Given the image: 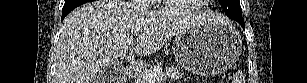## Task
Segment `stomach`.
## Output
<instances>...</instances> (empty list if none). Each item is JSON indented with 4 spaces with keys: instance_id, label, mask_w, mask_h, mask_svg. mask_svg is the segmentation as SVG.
Here are the masks:
<instances>
[{
    "instance_id": "1",
    "label": "stomach",
    "mask_w": 307,
    "mask_h": 83,
    "mask_svg": "<svg viewBox=\"0 0 307 83\" xmlns=\"http://www.w3.org/2000/svg\"><path fill=\"white\" fill-rule=\"evenodd\" d=\"M242 52V39L229 24L194 26L175 35L173 54L185 70L200 76L217 75L230 68Z\"/></svg>"
}]
</instances>
